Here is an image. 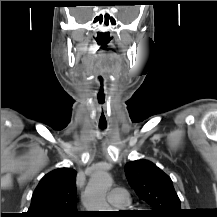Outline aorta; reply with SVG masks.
Instances as JSON below:
<instances>
[{
    "label": "aorta",
    "instance_id": "aorta-1",
    "mask_svg": "<svg viewBox=\"0 0 217 217\" xmlns=\"http://www.w3.org/2000/svg\"><path fill=\"white\" fill-rule=\"evenodd\" d=\"M112 183V178L107 171L97 169L93 173L82 195L87 211H111L105 196Z\"/></svg>",
    "mask_w": 217,
    "mask_h": 217
}]
</instances>
